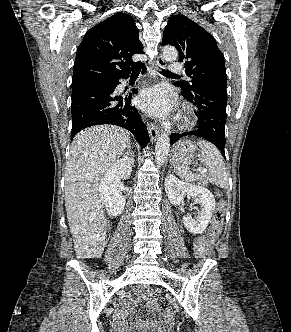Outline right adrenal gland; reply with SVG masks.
Masks as SVG:
<instances>
[{
  "label": "right adrenal gland",
  "mask_w": 291,
  "mask_h": 332,
  "mask_svg": "<svg viewBox=\"0 0 291 332\" xmlns=\"http://www.w3.org/2000/svg\"><path fill=\"white\" fill-rule=\"evenodd\" d=\"M131 149H132V147H131V144L129 143L128 144V152H127V155L129 156V152L131 153ZM131 164H132V166L134 165V160H133V158H131Z\"/></svg>",
  "instance_id": "1"
}]
</instances>
